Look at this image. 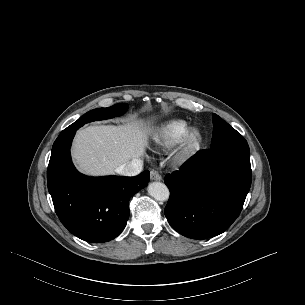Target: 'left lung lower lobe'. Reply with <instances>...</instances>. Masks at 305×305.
Instances as JSON below:
<instances>
[{"label": "left lung lower lobe", "mask_w": 305, "mask_h": 305, "mask_svg": "<svg viewBox=\"0 0 305 305\" xmlns=\"http://www.w3.org/2000/svg\"><path fill=\"white\" fill-rule=\"evenodd\" d=\"M251 178L250 151L200 150L179 171L166 175L170 197L165 216L186 237L217 236L240 214Z\"/></svg>", "instance_id": "1"}]
</instances>
